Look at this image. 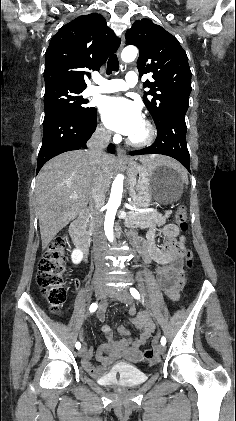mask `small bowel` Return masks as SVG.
<instances>
[{
    "instance_id": "small-bowel-1",
    "label": "small bowel",
    "mask_w": 236,
    "mask_h": 421,
    "mask_svg": "<svg viewBox=\"0 0 236 421\" xmlns=\"http://www.w3.org/2000/svg\"><path fill=\"white\" fill-rule=\"evenodd\" d=\"M163 234L168 240L172 241L176 245L179 252H183V250H184L183 242L175 241L177 238L180 237V229L176 224L166 225L163 229ZM147 237H148L149 242L151 243L153 241L154 237H155V228L152 227V228L149 229V231L147 233ZM180 239L183 240V238H180ZM140 320H142L143 323H144V328H143L144 335H143V339H142L141 343L138 346L142 345L145 342V340L150 336L151 332L153 331V324H152L151 320L145 314H142ZM118 330H119L120 333L127 334V331L123 327H119ZM101 353H102V351H99L97 353L96 357H98ZM85 354H84V356H85Z\"/></svg>"
}]
</instances>
